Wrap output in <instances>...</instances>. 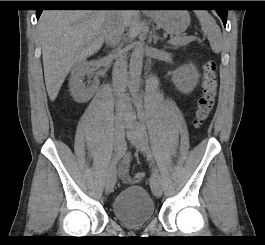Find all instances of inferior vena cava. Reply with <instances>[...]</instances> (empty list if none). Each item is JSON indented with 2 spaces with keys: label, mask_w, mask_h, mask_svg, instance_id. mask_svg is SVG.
<instances>
[{
  "label": "inferior vena cava",
  "mask_w": 265,
  "mask_h": 245,
  "mask_svg": "<svg viewBox=\"0 0 265 245\" xmlns=\"http://www.w3.org/2000/svg\"><path fill=\"white\" fill-rule=\"evenodd\" d=\"M125 30V24L122 21L120 12H114L108 21L105 30V41L108 46L114 47L111 56L115 58L113 67V87L117 96L116 112L119 115L124 114L128 107L124 99L125 88L127 85V63L126 55L121 50L120 42Z\"/></svg>",
  "instance_id": "obj_1"
}]
</instances>
